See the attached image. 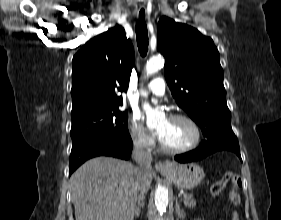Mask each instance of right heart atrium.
<instances>
[{"label": "right heart atrium", "instance_id": "1", "mask_svg": "<svg viewBox=\"0 0 281 220\" xmlns=\"http://www.w3.org/2000/svg\"><path fill=\"white\" fill-rule=\"evenodd\" d=\"M129 133L131 141L136 148L140 150H150L154 147V138L146 132L137 118H133L130 121Z\"/></svg>", "mask_w": 281, "mask_h": 220}]
</instances>
